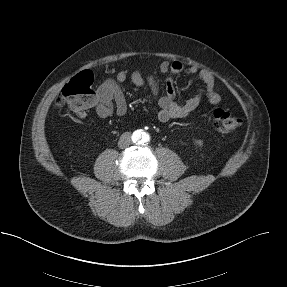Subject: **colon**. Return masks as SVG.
<instances>
[{
	"instance_id": "obj_1",
	"label": "colon",
	"mask_w": 287,
	"mask_h": 287,
	"mask_svg": "<svg viewBox=\"0 0 287 287\" xmlns=\"http://www.w3.org/2000/svg\"><path fill=\"white\" fill-rule=\"evenodd\" d=\"M95 101L93 74L90 71H82L64 86L56 100V106L80 114L92 107ZM212 118L214 127L223 133H231L241 125L240 118L224 109H215Z\"/></svg>"
}]
</instances>
